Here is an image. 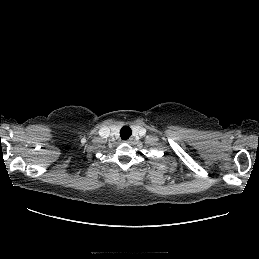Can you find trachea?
I'll return each instance as SVG.
<instances>
[{"mask_svg":"<svg viewBox=\"0 0 259 259\" xmlns=\"http://www.w3.org/2000/svg\"><path fill=\"white\" fill-rule=\"evenodd\" d=\"M132 135V130L129 126H123L120 130L122 140H127Z\"/></svg>","mask_w":259,"mask_h":259,"instance_id":"1","label":"trachea"}]
</instances>
